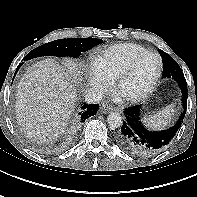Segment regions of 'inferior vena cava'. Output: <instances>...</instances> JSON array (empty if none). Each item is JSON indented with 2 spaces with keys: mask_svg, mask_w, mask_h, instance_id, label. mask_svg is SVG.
I'll list each match as a JSON object with an SVG mask.
<instances>
[{
  "mask_svg": "<svg viewBox=\"0 0 197 197\" xmlns=\"http://www.w3.org/2000/svg\"><path fill=\"white\" fill-rule=\"evenodd\" d=\"M84 95L85 101L89 104L99 103L103 97L102 93L99 90L93 88L86 89Z\"/></svg>",
  "mask_w": 197,
  "mask_h": 197,
  "instance_id": "602c4592",
  "label": "inferior vena cava"
}]
</instances>
